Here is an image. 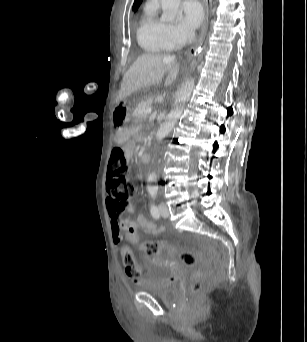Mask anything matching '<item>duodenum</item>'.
<instances>
[{"label":"duodenum","mask_w":307,"mask_h":342,"mask_svg":"<svg viewBox=\"0 0 307 342\" xmlns=\"http://www.w3.org/2000/svg\"><path fill=\"white\" fill-rule=\"evenodd\" d=\"M140 161H141L142 165H145L149 161V157L147 156V154L145 152H142V154L140 156Z\"/></svg>","instance_id":"1"}]
</instances>
